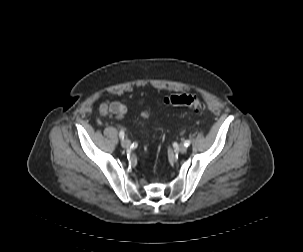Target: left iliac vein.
Masks as SVG:
<instances>
[{
	"label": "left iliac vein",
	"mask_w": 303,
	"mask_h": 252,
	"mask_svg": "<svg viewBox=\"0 0 303 252\" xmlns=\"http://www.w3.org/2000/svg\"><path fill=\"white\" fill-rule=\"evenodd\" d=\"M178 150L180 153H186L187 147L184 144H181Z\"/></svg>",
	"instance_id": "4c4485c4"
}]
</instances>
